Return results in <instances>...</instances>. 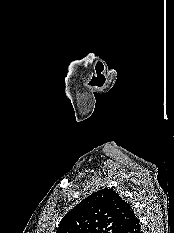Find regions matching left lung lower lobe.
<instances>
[{
	"label": "left lung lower lobe",
	"instance_id": "left-lung-lower-lobe-1",
	"mask_svg": "<svg viewBox=\"0 0 174 233\" xmlns=\"http://www.w3.org/2000/svg\"><path fill=\"white\" fill-rule=\"evenodd\" d=\"M120 233H141L140 223L137 217L128 223Z\"/></svg>",
	"mask_w": 174,
	"mask_h": 233
}]
</instances>
